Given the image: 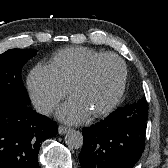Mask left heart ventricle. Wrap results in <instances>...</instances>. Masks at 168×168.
I'll use <instances>...</instances> for the list:
<instances>
[{
	"instance_id": "1",
	"label": "left heart ventricle",
	"mask_w": 168,
	"mask_h": 168,
	"mask_svg": "<svg viewBox=\"0 0 168 168\" xmlns=\"http://www.w3.org/2000/svg\"><path fill=\"white\" fill-rule=\"evenodd\" d=\"M121 67L114 59L99 63L91 78L74 93L87 106L90 113L105 107L114 97L120 79Z\"/></svg>"
}]
</instances>
